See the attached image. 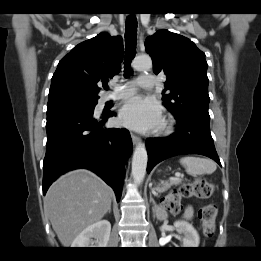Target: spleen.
<instances>
[{
  "mask_svg": "<svg viewBox=\"0 0 261 261\" xmlns=\"http://www.w3.org/2000/svg\"><path fill=\"white\" fill-rule=\"evenodd\" d=\"M180 163L185 167L187 173L193 176L212 174L217 168L213 160L195 156L182 157Z\"/></svg>",
  "mask_w": 261,
  "mask_h": 261,
  "instance_id": "spleen-1",
  "label": "spleen"
}]
</instances>
